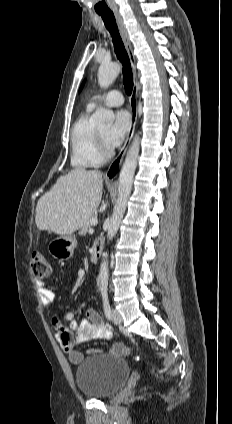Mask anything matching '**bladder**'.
Listing matches in <instances>:
<instances>
[{
	"label": "bladder",
	"instance_id": "31cf9c89",
	"mask_svg": "<svg viewBox=\"0 0 232 424\" xmlns=\"http://www.w3.org/2000/svg\"><path fill=\"white\" fill-rule=\"evenodd\" d=\"M131 369L123 358L97 353L85 358L76 368L79 392L90 399L115 395L127 382Z\"/></svg>",
	"mask_w": 232,
	"mask_h": 424
}]
</instances>
